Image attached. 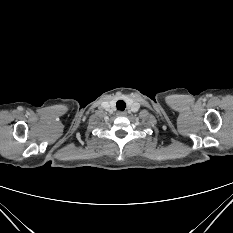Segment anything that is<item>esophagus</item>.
Returning <instances> with one entry per match:
<instances>
[{"mask_svg":"<svg viewBox=\"0 0 233 233\" xmlns=\"http://www.w3.org/2000/svg\"><path fill=\"white\" fill-rule=\"evenodd\" d=\"M117 114H118L119 116H125V115H126V112H124V111H119Z\"/></svg>","mask_w":233,"mask_h":233,"instance_id":"1","label":"esophagus"}]
</instances>
